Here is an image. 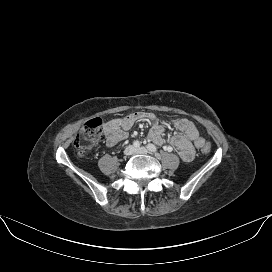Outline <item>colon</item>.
Instances as JSON below:
<instances>
[{
  "mask_svg": "<svg viewBox=\"0 0 272 272\" xmlns=\"http://www.w3.org/2000/svg\"><path fill=\"white\" fill-rule=\"evenodd\" d=\"M104 138L102 130V121L99 118H94L85 123L79 133L76 135L74 144L78 149V153L83 155L87 149L100 143ZM211 150L209 143L205 144L202 152L207 154Z\"/></svg>",
  "mask_w": 272,
  "mask_h": 272,
  "instance_id": "1",
  "label": "colon"
}]
</instances>
